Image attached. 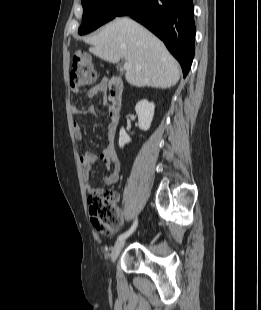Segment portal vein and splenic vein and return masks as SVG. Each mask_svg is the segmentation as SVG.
I'll list each match as a JSON object with an SVG mask.
<instances>
[{"instance_id": "1", "label": "portal vein and splenic vein", "mask_w": 261, "mask_h": 310, "mask_svg": "<svg viewBox=\"0 0 261 310\" xmlns=\"http://www.w3.org/2000/svg\"><path fill=\"white\" fill-rule=\"evenodd\" d=\"M131 68V65L129 63L124 64V69L129 70Z\"/></svg>"}]
</instances>
